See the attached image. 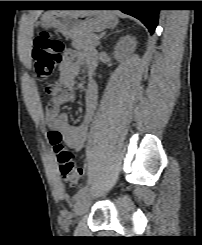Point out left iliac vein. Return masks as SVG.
Instances as JSON below:
<instances>
[{
	"label": "left iliac vein",
	"mask_w": 202,
	"mask_h": 245,
	"mask_svg": "<svg viewBox=\"0 0 202 245\" xmlns=\"http://www.w3.org/2000/svg\"><path fill=\"white\" fill-rule=\"evenodd\" d=\"M91 205V198L88 194L81 195L75 204L74 211L77 216L84 215Z\"/></svg>",
	"instance_id": "left-iliac-vein-1"
}]
</instances>
